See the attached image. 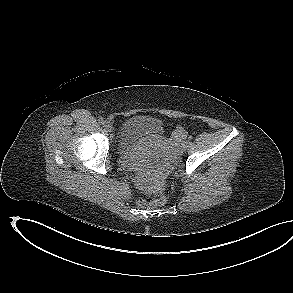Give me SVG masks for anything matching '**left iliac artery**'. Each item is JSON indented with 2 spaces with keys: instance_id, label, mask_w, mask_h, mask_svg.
I'll use <instances>...</instances> for the list:
<instances>
[{
  "instance_id": "left-iliac-artery-1",
  "label": "left iliac artery",
  "mask_w": 293,
  "mask_h": 293,
  "mask_svg": "<svg viewBox=\"0 0 293 293\" xmlns=\"http://www.w3.org/2000/svg\"><path fill=\"white\" fill-rule=\"evenodd\" d=\"M188 140L191 141V140H192V136H189V137H188Z\"/></svg>"
}]
</instances>
